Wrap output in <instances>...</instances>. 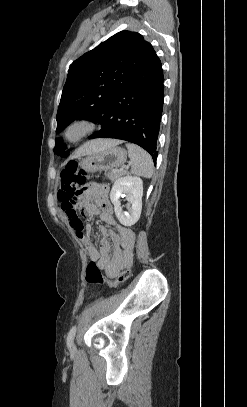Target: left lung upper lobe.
Here are the masks:
<instances>
[{"label": "left lung upper lobe", "instance_id": "5c2ea615", "mask_svg": "<svg viewBox=\"0 0 247 407\" xmlns=\"http://www.w3.org/2000/svg\"><path fill=\"white\" fill-rule=\"evenodd\" d=\"M154 54L142 35L121 31L75 60L62 91L56 133L76 119L101 124L119 92ZM65 148L61 139H56L54 152L67 157Z\"/></svg>", "mask_w": 247, "mask_h": 407}]
</instances>
